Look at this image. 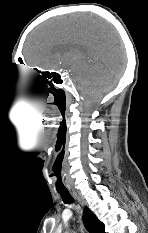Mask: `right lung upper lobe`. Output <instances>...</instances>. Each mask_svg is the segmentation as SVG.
Here are the masks:
<instances>
[{"label": "right lung upper lobe", "instance_id": "right-lung-upper-lobe-1", "mask_svg": "<svg viewBox=\"0 0 148 233\" xmlns=\"http://www.w3.org/2000/svg\"><path fill=\"white\" fill-rule=\"evenodd\" d=\"M85 226L90 233H105L104 224L87 207L84 208Z\"/></svg>", "mask_w": 148, "mask_h": 233}]
</instances>
